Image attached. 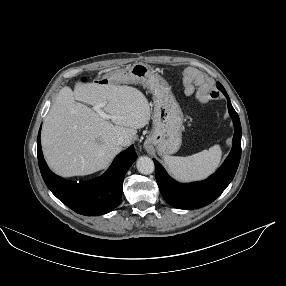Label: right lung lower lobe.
Returning <instances> with one entry per match:
<instances>
[{"mask_svg":"<svg viewBox=\"0 0 286 286\" xmlns=\"http://www.w3.org/2000/svg\"><path fill=\"white\" fill-rule=\"evenodd\" d=\"M40 130L37 139L39 168L47 187L61 202L86 216L106 214L121 203L124 176L137 158L133 145L117 155L111 167L99 178L72 183L48 168L41 150Z\"/></svg>","mask_w":286,"mask_h":286,"instance_id":"1","label":"right lung lower lobe"}]
</instances>
